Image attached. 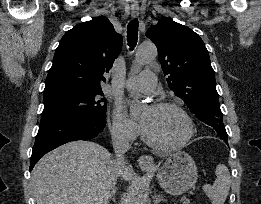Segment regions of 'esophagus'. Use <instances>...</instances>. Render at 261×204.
I'll return each instance as SVG.
<instances>
[{"label":"esophagus","instance_id":"esophagus-1","mask_svg":"<svg viewBox=\"0 0 261 204\" xmlns=\"http://www.w3.org/2000/svg\"><path fill=\"white\" fill-rule=\"evenodd\" d=\"M139 14V7L137 5L131 6V17L136 18ZM138 164L142 169H151L154 166V159L150 155H142L138 159Z\"/></svg>","mask_w":261,"mask_h":204}]
</instances>
